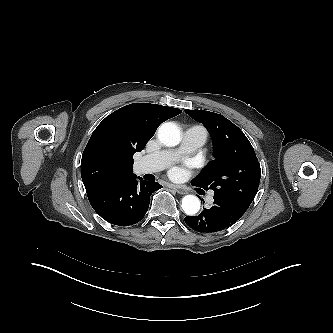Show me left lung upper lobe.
<instances>
[{"label":"left lung upper lobe","instance_id":"obj_1","mask_svg":"<svg viewBox=\"0 0 333 333\" xmlns=\"http://www.w3.org/2000/svg\"><path fill=\"white\" fill-rule=\"evenodd\" d=\"M209 131L215 159L192 180V184L245 207L259 187L261 169L255 151L244 133L224 116L210 111L185 110Z\"/></svg>","mask_w":333,"mask_h":333}]
</instances>
